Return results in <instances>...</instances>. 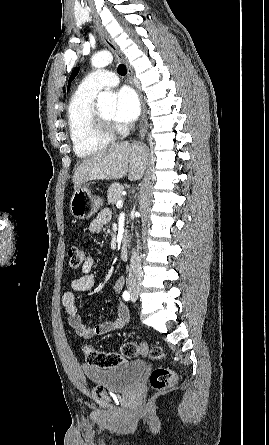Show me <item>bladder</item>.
<instances>
[{
    "instance_id": "1",
    "label": "bladder",
    "mask_w": 269,
    "mask_h": 445,
    "mask_svg": "<svg viewBox=\"0 0 269 445\" xmlns=\"http://www.w3.org/2000/svg\"><path fill=\"white\" fill-rule=\"evenodd\" d=\"M146 370L147 363L144 360H133L112 368L83 367V373L90 383L112 391H124L133 387Z\"/></svg>"
}]
</instances>
